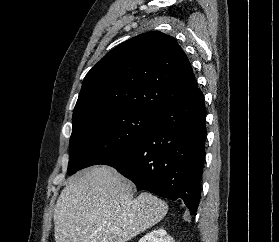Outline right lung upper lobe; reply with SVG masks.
<instances>
[{
  "mask_svg": "<svg viewBox=\"0 0 279 242\" xmlns=\"http://www.w3.org/2000/svg\"><path fill=\"white\" fill-rule=\"evenodd\" d=\"M201 95L177 41L147 32L114 48L87 73L73 118L119 109L158 113Z\"/></svg>",
  "mask_w": 279,
  "mask_h": 242,
  "instance_id": "right-lung-upper-lobe-1",
  "label": "right lung upper lobe"
}]
</instances>
